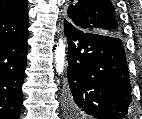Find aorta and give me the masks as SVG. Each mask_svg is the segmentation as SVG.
<instances>
[{
	"label": "aorta",
	"instance_id": "obj_1",
	"mask_svg": "<svg viewBox=\"0 0 142 119\" xmlns=\"http://www.w3.org/2000/svg\"><path fill=\"white\" fill-rule=\"evenodd\" d=\"M55 64L57 73L61 74L64 70L65 64V44L61 39L59 40V43L55 49Z\"/></svg>",
	"mask_w": 142,
	"mask_h": 119
}]
</instances>
